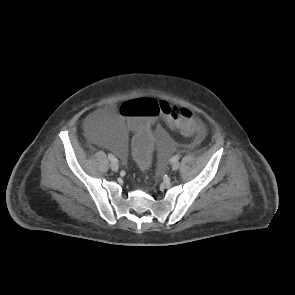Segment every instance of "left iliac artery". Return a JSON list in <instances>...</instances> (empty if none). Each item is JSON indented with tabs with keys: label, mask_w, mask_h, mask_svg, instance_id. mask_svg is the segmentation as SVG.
I'll use <instances>...</instances> for the list:
<instances>
[{
	"label": "left iliac artery",
	"mask_w": 295,
	"mask_h": 295,
	"mask_svg": "<svg viewBox=\"0 0 295 295\" xmlns=\"http://www.w3.org/2000/svg\"><path fill=\"white\" fill-rule=\"evenodd\" d=\"M179 159H180V155H175L170 159V161L171 163H174V162H177Z\"/></svg>",
	"instance_id": "left-iliac-artery-1"
}]
</instances>
